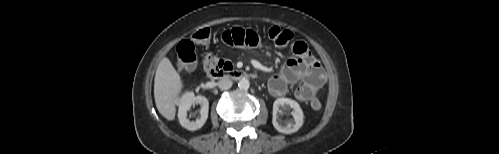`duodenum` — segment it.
<instances>
[{"label":"duodenum","mask_w":499,"mask_h":154,"mask_svg":"<svg viewBox=\"0 0 499 154\" xmlns=\"http://www.w3.org/2000/svg\"><path fill=\"white\" fill-rule=\"evenodd\" d=\"M209 77L212 79H231L234 81H241L251 77V74L242 70H228L222 71L218 68H211L208 71Z\"/></svg>","instance_id":"duodenum-1"}]
</instances>
